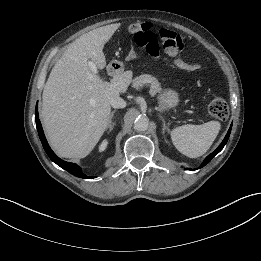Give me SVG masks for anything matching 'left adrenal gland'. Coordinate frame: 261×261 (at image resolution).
Masks as SVG:
<instances>
[{
	"instance_id": "1",
	"label": "left adrenal gland",
	"mask_w": 261,
	"mask_h": 261,
	"mask_svg": "<svg viewBox=\"0 0 261 261\" xmlns=\"http://www.w3.org/2000/svg\"><path fill=\"white\" fill-rule=\"evenodd\" d=\"M161 118H162V122H163V133H165L166 130L169 131V129L167 127V125H169V124H166V122H165L163 117H161Z\"/></svg>"
}]
</instances>
